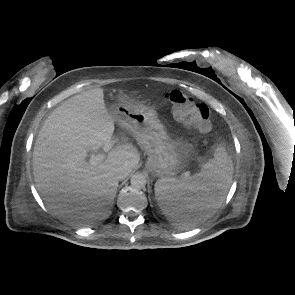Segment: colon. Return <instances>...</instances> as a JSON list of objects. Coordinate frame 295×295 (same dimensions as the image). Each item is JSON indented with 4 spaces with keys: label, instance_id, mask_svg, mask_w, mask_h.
<instances>
[{
    "label": "colon",
    "instance_id": "1",
    "mask_svg": "<svg viewBox=\"0 0 295 295\" xmlns=\"http://www.w3.org/2000/svg\"><path fill=\"white\" fill-rule=\"evenodd\" d=\"M164 100L172 106L174 116L184 124L202 133L211 130L210 111L206 105L195 102L192 97L177 90L167 91Z\"/></svg>",
    "mask_w": 295,
    "mask_h": 295
}]
</instances>
